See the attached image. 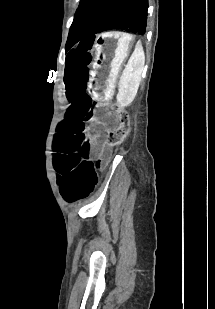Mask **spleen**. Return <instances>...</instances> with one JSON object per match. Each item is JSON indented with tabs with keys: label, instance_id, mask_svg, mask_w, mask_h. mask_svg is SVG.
I'll use <instances>...</instances> for the list:
<instances>
[{
	"label": "spleen",
	"instance_id": "obj_1",
	"mask_svg": "<svg viewBox=\"0 0 215 309\" xmlns=\"http://www.w3.org/2000/svg\"><path fill=\"white\" fill-rule=\"evenodd\" d=\"M144 64L143 46L141 42H137L119 80V92L116 98L120 106H129L133 102L139 88Z\"/></svg>",
	"mask_w": 215,
	"mask_h": 309
}]
</instances>
